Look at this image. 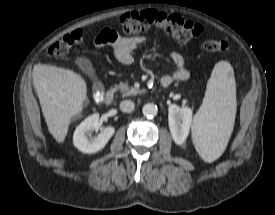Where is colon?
I'll use <instances>...</instances> for the list:
<instances>
[{
  "label": "colon",
  "instance_id": "5ec220e1",
  "mask_svg": "<svg viewBox=\"0 0 275 215\" xmlns=\"http://www.w3.org/2000/svg\"><path fill=\"white\" fill-rule=\"evenodd\" d=\"M120 23L127 33L156 29L181 43L194 41L203 34V28L197 23L179 15H168L154 10L126 13L121 16ZM82 35V31L76 30L63 36L50 46L48 57L52 59L65 56L74 44L81 41ZM203 47L209 52L224 53L228 50V43L218 39H205Z\"/></svg>",
  "mask_w": 275,
  "mask_h": 215
}]
</instances>
